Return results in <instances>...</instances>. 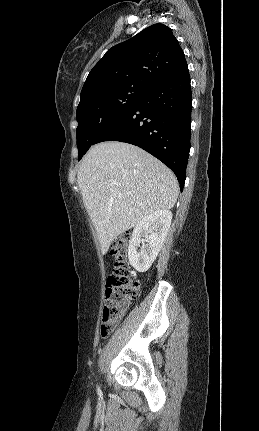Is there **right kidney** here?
<instances>
[{"label": "right kidney", "instance_id": "ca27d5eb", "mask_svg": "<svg viewBox=\"0 0 259 431\" xmlns=\"http://www.w3.org/2000/svg\"><path fill=\"white\" fill-rule=\"evenodd\" d=\"M171 220L170 210H158L135 226L129 242L128 259L138 272H145L151 267L167 236Z\"/></svg>", "mask_w": 259, "mask_h": 431}]
</instances>
